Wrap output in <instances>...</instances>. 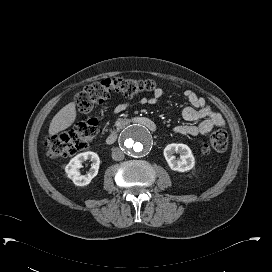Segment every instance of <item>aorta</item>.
I'll list each match as a JSON object with an SVG mask.
<instances>
[{
    "label": "aorta",
    "mask_w": 272,
    "mask_h": 272,
    "mask_svg": "<svg viewBox=\"0 0 272 272\" xmlns=\"http://www.w3.org/2000/svg\"><path fill=\"white\" fill-rule=\"evenodd\" d=\"M120 142L125 152L132 157L145 156L153 145L152 135L140 125H132L127 128L122 133Z\"/></svg>",
    "instance_id": "762f6f07"
}]
</instances>
